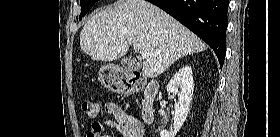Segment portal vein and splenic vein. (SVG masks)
Segmentation results:
<instances>
[{"mask_svg":"<svg viewBox=\"0 0 280 137\" xmlns=\"http://www.w3.org/2000/svg\"><path fill=\"white\" fill-rule=\"evenodd\" d=\"M133 47H134V49L136 50V51H140V45L138 44V43H134L133 44ZM149 53H146V52H141V56L143 57V58H147V57H149Z\"/></svg>","mask_w":280,"mask_h":137,"instance_id":"18ae733b","label":"portal vein and splenic vein"}]
</instances>
